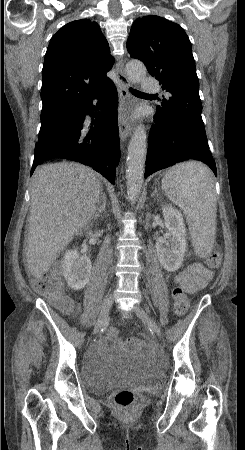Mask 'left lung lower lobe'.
I'll list each match as a JSON object with an SVG mask.
<instances>
[{"mask_svg": "<svg viewBox=\"0 0 245 450\" xmlns=\"http://www.w3.org/2000/svg\"><path fill=\"white\" fill-rule=\"evenodd\" d=\"M148 147L145 178L158 170L190 159L203 161L217 176L207 137L201 136L186 124L157 112L150 130Z\"/></svg>", "mask_w": 245, "mask_h": 450, "instance_id": "left-lung-lower-lobe-1", "label": "left lung lower lobe"}]
</instances>
